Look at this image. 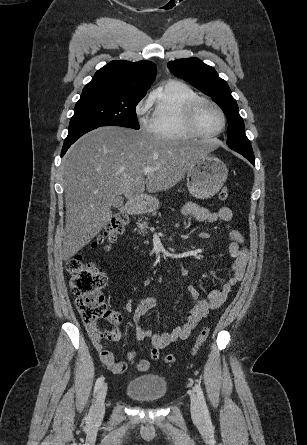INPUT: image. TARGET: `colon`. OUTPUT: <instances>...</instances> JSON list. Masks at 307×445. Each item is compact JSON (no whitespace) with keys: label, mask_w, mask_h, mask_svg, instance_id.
Here are the masks:
<instances>
[{"label":"colon","mask_w":307,"mask_h":445,"mask_svg":"<svg viewBox=\"0 0 307 445\" xmlns=\"http://www.w3.org/2000/svg\"><path fill=\"white\" fill-rule=\"evenodd\" d=\"M229 195L227 188L221 189L219 193L220 200H226ZM128 215L121 211L114 214L109 220L100 240L99 244H112L117 237L122 234L126 225L128 224ZM67 271L71 275L70 289L77 297L76 305L80 316L85 324H92L98 319H106L118 325L121 317L112 311L105 302V297L102 292L106 284L107 278L105 273L99 270L94 264L84 262L81 257H75L68 261ZM210 333V328L205 326L199 332L192 354H196L202 345L207 340ZM120 339V331L115 327L110 332L109 340L117 341ZM165 362L172 364L175 362V357L172 354L165 356Z\"/></svg>","instance_id":"colon-1"}]
</instances>
